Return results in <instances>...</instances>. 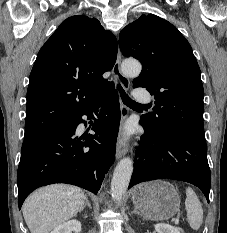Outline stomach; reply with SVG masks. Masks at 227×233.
<instances>
[{
    "label": "stomach",
    "mask_w": 227,
    "mask_h": 233,
    "mask_svg": "<svg viewBox=\"0 0 227 233\" xmlns=\"http://www.w3.org/2000/svg\"><path fill=\"white\" fill-rule=\"evenodd\" d=\"M135 209L149 220H168L180 208V196L176 188L165 181L146 182L132 192Z\"/></svg>",
    "instance_id": "obj_1"
}]
</instances>
